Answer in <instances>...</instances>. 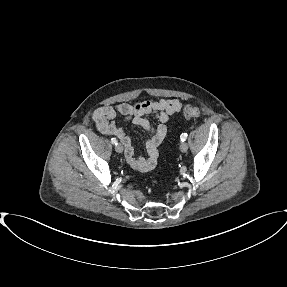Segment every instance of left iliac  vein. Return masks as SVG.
Returning <instances> with one entry per match:
<instances>
[{"label": "left iliac vein", "mask_w": 287, "mask_h": 287, "mask_svg": "<svg viewBox=\"0 0 287 287\" xmlns=\"http://www.w3.org/2000/svg\"><path fill=\"white\" fill-rule=\"evenodd\" d=\"M180 150H181L182 152H186V151L188 150V145H187V143L182 142V143L180 144Z\"/></svg>", "instance_id": "obj_1"}]
</instances>
